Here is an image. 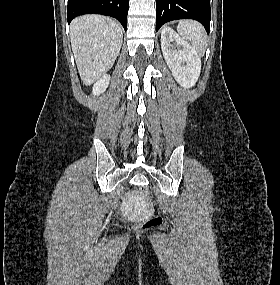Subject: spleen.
Listing matches in <instances>:
<instances>
[{"label": "spleen", "mask_w": 280, "mask_h": 285, "mask_svg": "<svg viewBox=\"0 0 280 285\" xmlns=\"http://www.w3.org/2000/svg\"><path fill=\"white\" fill-rule=\"evenodd\" d=\"M178 33L189 40L200 56H203L207 46V35L202 25L196 21H181L177 26Z\"/></svg>", "instance_id": "spleen-1"}]
</instances>
